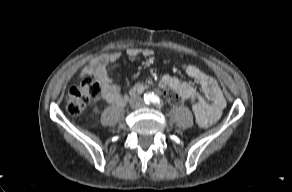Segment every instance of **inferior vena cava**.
I'll list each match as a JSON object with an SVG mask.
<instances>
[{
	"label": "inferior vena cava",
	"mask_w": 292,
	"mask_h": 192,
	"mask_svg": "<svg viewBox=\"0 0 292 192\" xmlns=\"http://www.w3.org/2000/svg\"><path fill=\"white\" fill-rule=\"evenodd\" d=\"M130 105L133 108H138L144 105V102L141 97H134L130 100Z\"/></svg>",
	"instance_id": "inferior-vena-cava-1"
}]
</instances>
